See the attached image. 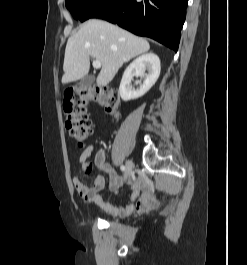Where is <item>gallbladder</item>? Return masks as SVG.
I'll list each match as a JSON object with an SVG mask.
<instances>
[{
  "mask_svg": "<svg viewBox=\"0 0 247 265\" xmlns=\"http://www.w3.org/2000/svg\"><path fill=\"white\" fill-rule=\"evenodd\" d=\"M94 80L95 77L93 75H86L79 81L78 85L80 87H88L94 83Z\"/></svg>",
  "mask_w": 247,
  "mask_h": 265,
  "instance_id": "gallbladder-1",
  "label": "gallbladder"
}]
</instances>
